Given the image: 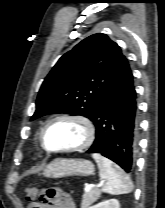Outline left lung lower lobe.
I'll return each instance as SVG.
<instances>
[{"label": "left lung lower lobe", "mask_w": 165, "mask_h": 208, "mask_svg": "<svg viewBox=\"0 0 165 208\" xmlns=\"http://www.w3.org/2000/svg\"><path fill=\"white\" fill-rule=\"evenodd\" d=\"M93 122L96 138L87 152L100 153L126 172H131L137 150L139 122L136 91L128 61L105 92Z\"/></svg>", "instance_id": "left-lung-lower-lobe-1"}]
</instances>
